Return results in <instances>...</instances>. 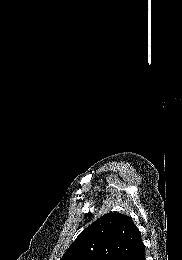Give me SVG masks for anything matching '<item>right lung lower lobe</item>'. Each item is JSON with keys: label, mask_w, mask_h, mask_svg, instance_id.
Listing matches in <instances>:
<instances>
[{"label": "right lung lower lobe", "mask_w": 182, "mask_h": 260, "mask_svg": "<svg viewBox=\"0 0 182 260\" xmlns=\"http://www.w3.org/2000/svg\"><path fill=\"white\" fill-rule=\"evenodd\" d=\"M131 260H146L144 248L135 254Z\"/></svg>", "instance_id": "98d812e1"}]
</instances>
